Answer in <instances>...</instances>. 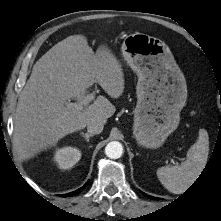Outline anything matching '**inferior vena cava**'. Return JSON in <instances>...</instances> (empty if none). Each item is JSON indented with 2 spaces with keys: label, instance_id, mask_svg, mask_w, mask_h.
Returning a JSON list of instances; mask_svg holds the SVG:
<instances>
[{
  "label": "inferior vena cava",
  "instance_id": "1",
  "mask_svg": "<svg viewBox=\"0 0 221 221\" xmlns=\"http://www.w3.org/2000/svg\"><path fill=\"white\" fill-rule=\"evenodd\" d=\"M104 124L99 120H92L87 124V131L91 134H100L103 131Z\"/></svg>",
  "mask_w": 221,
  "mask_h": 221
}]
</instances>
